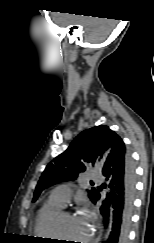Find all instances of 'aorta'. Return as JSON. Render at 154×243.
I'll return each mask as SVG.
<instances>
[{"label": "aorta", "mask_w": 154, "mask_h": 243, "mask_svg": "<svg viewBox=\"0 0 154 243\" xmlns=\"http://www.w3.org/2000/svg\"><path fill=\"white\" fill-rule=\"evenodd\" d=\"M108 236H109V231H107V232L105 233V235H104V240H106V239L108 238Z\"/></svg>", "instance_id": "obj_1"}]
</instances>
